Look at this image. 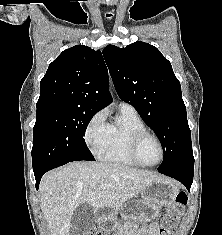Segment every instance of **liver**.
<instances>
[{
	"label": "liver",
	"instance_id": "liver-1",
	"mask_svg": "<svg viewBox=\"0 0 222 235\" xmlns=\"http://www.w3.org/2000/svg\"><path fill=\"white\" fill-rule=\"evenodd\" d=\"M162 179L156 173L101 162H73L42 177L40 207L51 235H70L71 217L84 203L115 208ZM107 184L106 189H101Z\"/></svg>",
	"mask_w": 222,
	"mask_h": 235
}]
</instances>
